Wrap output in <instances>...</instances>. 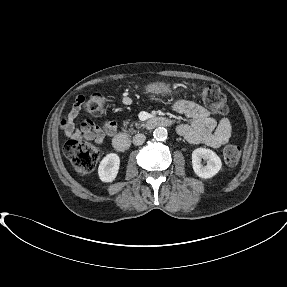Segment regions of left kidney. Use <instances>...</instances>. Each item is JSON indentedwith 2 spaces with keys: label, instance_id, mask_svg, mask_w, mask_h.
Returning <instances> with one entry per match:
<instances>
[{
  "label": "left kidney",
  "instance_id": "obj_1",
  "mask_svg": "<svg viewBox=\"0 0 287 287\" xmlns=\"http://www.w3.org/2000/svg\"><path fill=\"white\" fill-rule=\"evenodd\" d=\"M207 160V165L201 163V159ZM192 167L200 178H211L216 175L222 167L219 156L210 149L197 148L192 152Z\"/></svg>",
  "mask_w": 287,
  "mask_h": 287
}]
</instances>
